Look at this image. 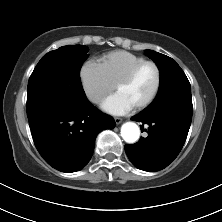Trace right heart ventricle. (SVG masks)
Segmentation results:
<instances>
[{"label":"right heart ventricle","instance_id":"e07e8e85","mask_svg":"<svg viewBox=\"0 0 222 222\" xmlns=\"http://www.w3.org/2000/svg\"><path fill=\"white\" fill-rule=\"evenodd\" d=\"M144 60L145 58L133 53L116 50L102 56L99 65L115 85L132 67Z\"/></svg>","mask_w":222,"mask_h":222}]
</instances>
